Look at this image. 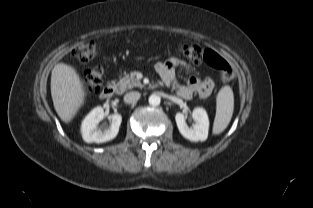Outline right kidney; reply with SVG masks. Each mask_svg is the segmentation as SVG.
Here are the masks:
<instances>
[{
  "mask_svg": "<svg viewBox=\"0 0 313 208\" xmlns=\"http://www.w3.org/2000/svg\"><path fill=\"white\" fill-rule=\"evenodd\" d=\"M104 118V110L98 106L94 108L82 121L81 132L82 138L87 143H104L114 139L118 132L122 122V116L120 114H113L109 118L111 125L109 128L101 130L98 128V124Z\"/></svg>",
  "mask_w": 313,
  "mask_h": 208,
  "instance_id": "obj_1",
  "label": "right kidney"
}]
</instances>
